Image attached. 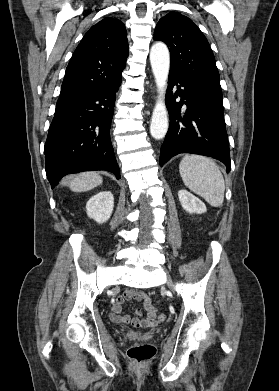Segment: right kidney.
I'll use <instances>...</instances> for the list:
<instances>
[{
  "mask_svg": "<svg viewBox=\"0 0 279 391\" xmlns=\"http://www.w3.org/2000/svg\"><path fill=\"white\" fill-rule=\"evenodd\" d=\"M114 207V197L110 191H101L92 196L86 204L88 217L97 223H105L111 217Z\"/></svg>",
  "mask_w": 279,
  "mask_h": 391,
  "instance_id": "1",
  "label": "right kidney"
}]
</instances>
